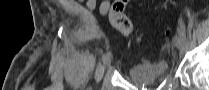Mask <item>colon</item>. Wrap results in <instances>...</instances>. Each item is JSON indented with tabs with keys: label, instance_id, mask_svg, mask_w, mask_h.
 I'll return each instance as SVG.
<instances>
[{
	"label": "colon",
	"instance_id": "1",
	"mask_svg": "<svg viewBox=\"0 0 209 90\" xmlns=\"http://www.w3.org/2000/svg\"><path fill=\"white\" fill-rule=\"evenodd\" d=\"M127 0H116L113 2L110 9V20L112 25L118 29L124 36L129 37L132 35L133 27L129 18L124 14ZM169 31H166V35Z\"/></svg>",
	"mask_w": 209,
	"mask_h": 90
}]
</instances>
